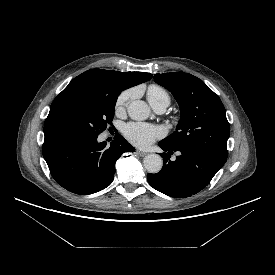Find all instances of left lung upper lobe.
Segmentation results:
<instances>
[{"label":"left lung upper lobe","mask_w":275,"mask_h":275,"mask_svg":"<svg viewBox=\"0 0 275 275\" xmlns=\"http://www.w3.org/2000/svg\"><path fill=\"white\" fill-rule=\"evenodd\" d=\"M154 81L173 94L181 111L176 131L162 142L227 158L230 129L220 98L203 81L188 73L155 74Z\"/></svg>","instance_id":"1"}]
</instances>
